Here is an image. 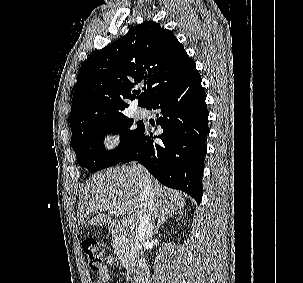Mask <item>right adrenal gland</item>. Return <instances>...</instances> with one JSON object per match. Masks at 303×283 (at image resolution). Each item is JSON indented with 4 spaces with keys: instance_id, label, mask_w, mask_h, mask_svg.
I'll return each mask as SVG.
<instances>
[{
    "instance_id": "right-adrenal-gland-1",
    "label": "right adrenal gland",
    "mask_w": 303,
    "mask_h": 283,
    "mask_svg": "<svg viewBox=\"0 0 303 283\" xmlns=\"http://www.w3.org/2000/svg\"><path fill=\"white\" fill-rule=\"evenodd\" d=\"M182 214L181 211L178 212V215L180 216ZM171 216H162L160 219H158V222H157V226L155 227V230H154V234L155 233H158L159 231V228L161 227V225L164 224V222L167 221L168 218H170Z\"/></svg>"
}]
</instances>
